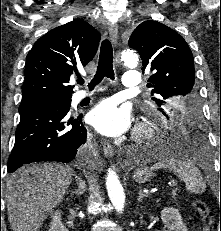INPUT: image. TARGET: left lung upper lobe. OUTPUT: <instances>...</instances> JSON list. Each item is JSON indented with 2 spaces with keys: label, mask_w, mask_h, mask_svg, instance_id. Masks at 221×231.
<instances>
[{
  "label": "left lung upper lobe",
  "mask_w": 221,
  "mask_h": 231,
  "mask_svg": "<svg viewBox=\"0 0 221 231\" xmlns=\"http://www.w3.org/2000/svg\"><path fill=\"white\" fill-rule=\"evenodd\" d=\"M129 46L142 59V70L151 72L148 87L158 110L166 116L180 106L193 109L199 101L192 52L186 41L168 26L142 22L132 33Z\"/></svg>",
  "instance_id": "left-lung-upper-lobe-1"
}]
</instances>
